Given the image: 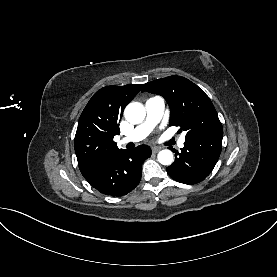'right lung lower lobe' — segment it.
<instances>
[{"label":"right lung lower lobe","instance_id":"98d812e1","mask_svg":"<svg viewBox=\"0 0 277 277\" xmlns=\"http://www.w3.org/2000/svg\"><path fill=\"white\" fill-rule=\"evenodd\" d=\"M150 155L151 149L147 145H140L132 150L122 149L85 179L105 195H125L139 184L142 164Z\"/></svg>","mask_w":277,"mask_h":277}]
</instances>
